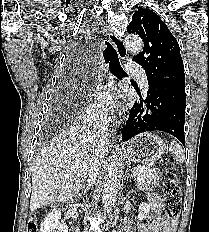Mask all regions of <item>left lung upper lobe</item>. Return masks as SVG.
I'll return each mask as SVG.
<instances>
[{"label": "left lung upper lobe", "instance_id": "left-lung-upper-lobe-1", "mask_svg": "<svg viewBox=\"0 0 209 232\" xmlns=\"http://www.w3.org/2000/svg\"><path fill=\"white\" fill-rule=\"evenodd\" d=\"M144 40L143 51L133 60L147 75L149 88L185 94V75L179 45L166 24L149 9H139L127 27Z\"/></svg>", "mask_w": 209, "mask_h": 232}]
</instances>
